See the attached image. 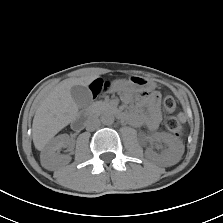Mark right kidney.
Returning <instances> with one entry per match:
<instances>
[{
    "mask_svg": "<svg viewBox=\"0 0 223 223\" xmlns=\"http://www.w3.org/2000/svg\"><path fill=\"white\" fill-rule=\"evenodd\" d=\"M69 143V136L61 134L55 137L41 152V163L47 169H53L59 164H68L71 161L69 155H61L59 151Z\"/></svg>",
    "mask_w": 223,
    "mask_h": 223,
    "instance_id": "1",
    "label": "right kidney"
}]
</instances>
